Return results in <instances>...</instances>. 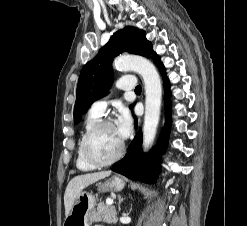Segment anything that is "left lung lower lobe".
<instances>
[{"label": "left lung lower lobe", "mask_w": 247, "mask_h": 226, "mask_svg": "<svg viewBox=\"0 0 247 226\" xmlns=\"http://www.w3.org/2000/svg\"><path fill=\"white\" fill-rule=\"evenodd\" d=\"M153 60L154 63L160 69V72L163 76L165 86L166 108L168 110L170 106L168 103V100L170 98L169 81L166 76L165 69L160 60V57L157 54H155L153 56ZM169 123L170 118L167 115L162 138L159 144L157 145V148L151 154L144 155L142 153V133L141 131H138L136 137L130 145L128 153L123 159H121L112 167V170L132 180H140L145 183H153L158 153H160L166 147L167 135L169 132Z\"/></svg>", "instance_id": "obj_1"}]
</instances>
